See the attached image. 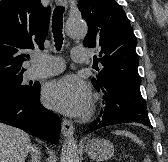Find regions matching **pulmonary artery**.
I'll use <instances>...</instances> for the list:
<instances>
[{"label": "pulmonary artery", "instance_id": "obj_1", "mask_svg": "<svg viewBox=\"0 0 168 162\" xmlns=\"http://www.w3.org/2000/svg\"><path fill=\"white\" fill-rule=\"evenodd\" d=\"M72 58L76 62H87L88 54L83 47H75L72 49ZM38 62L37 65L30 67L26 73L28 78H40L53 74H57L63 70L64 64L61 58L47 56V57H35Z\"/></svg>", "mask_w": 168, "mask_h": 162}]
</instances>
